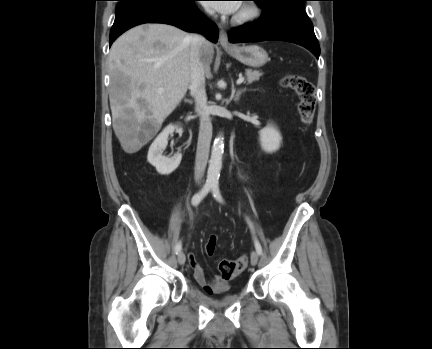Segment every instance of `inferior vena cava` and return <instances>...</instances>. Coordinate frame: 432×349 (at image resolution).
Instances as JSON below:
<instances>
[{"label": "inferior vena cava", "instance_id": "1", "mask_svg": "<svg viewBox=\"0 0 432 349\" xmlns=\"http://www.w3.org/2000/svg\"><path fill=\"white\" fill-rule=\"evenodd\" d=\"M188 38L191 43L189 89L195 99V110L200 115L194 168V178L199 183L205 173L212 138V124L205 92V69L200 58V50L206 39L200 34H191Z\"/></svg>", "mask_w": 432, "mask_h": 349}]
</instances>
